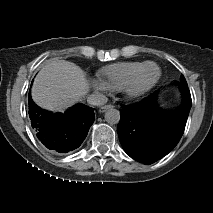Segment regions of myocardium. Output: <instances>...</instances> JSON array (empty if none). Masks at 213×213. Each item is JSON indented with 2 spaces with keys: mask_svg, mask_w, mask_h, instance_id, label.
Listing matches in <instances>:
<instances>
[{
  "mask_svg": "<svg viewBox=\"0 0 213 213\" xmlns=\"http://www.w3.org/2000/svg\"><path fill=\"white\" fill-rule=\"evenodd\" d=\"M148 66H153L156 69V76L151 83L143 88L137 87V82L141 73ZM161 76L160 68L154 62H145L140 68H138L133 75L123 84L121 93L126 100H136L148 93L158 83Z\"/></svg>",
  "mask_w": 213,
  "mask_h": 213,
  "instance_id": "obj_1",
  "label": "myocardium"
}]
</instances>
